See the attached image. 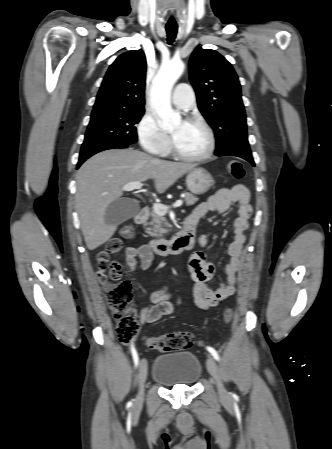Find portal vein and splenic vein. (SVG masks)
<instances>
[{
  "label": "portal vein and splenic vein",
  "instance_id": "obj_1",
  "mask_svg": "<svg viewBox=\"0 0 332 449\" xmlns=\"http://www.w3.org/2000/svg\"><path fill=\"white\" fill-rule=\"evenodd\" d=\"M122 190H124V191H133V190L142 191V183L140 181L128 183L122 187ZM182 204H183V201L181 199H179L173 204V207H180ZM168 209H169V207L165 206L163 204H160V203L153 204V210L159 215H164L165 213H167Z\"/></svg>",
  "mask_w": 332,
  "mask_h": 449
}]
</instances>
